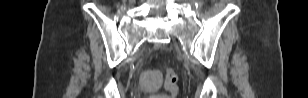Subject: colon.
Wrapping results in <instances>:
<instances>
[{
  "label": "colon",
  "instance_id": "colon-1",
  "mask_svg": "<svg viewBox=\"0 0 308 98\" xmlns=\"http://www.w3.org/2000/svg\"><path fill=\"white\" fill-rule=\"evenodd\" d=\"M178 75L176 68H168L166 71V77H165V83L164 87L165 90L168 92V95H154L152 98H168V97H174L177 94L178 91Z\"/></svg>",
  "mask_w": 308,
  "mask_h": 98
}]
</instances>
